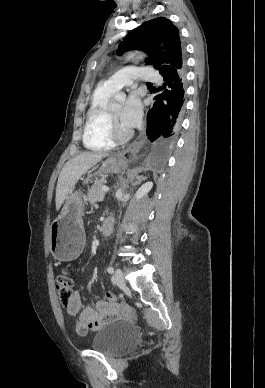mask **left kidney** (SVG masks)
Instances as JSON below:
<instances>
[{
  "instance_id": "left-kidney-1",
  "label": "left kidney",
  "mask_w": 265,
  "mask_h": 388,
  "mask_svg": "<svg viewBox=\"0 0 265 388\" xmlns=\"http://www.w3.org/2000/svg\"><path fill=\"white\" fill-rule=\"evenodd\" d=\"M153 186V182H146V184H143L139 190L136 192V198L137 200H141V198H144L148 192H150L151 188Z\"/></svg>"
}]
</instances>
